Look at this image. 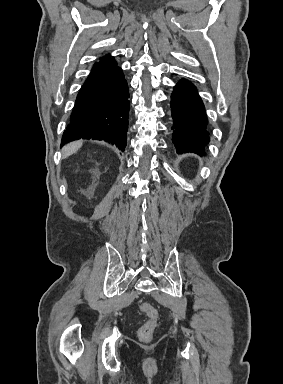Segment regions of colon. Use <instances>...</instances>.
Wrapping results in <instances>:
<instances>
[{"mask_svg":"<svg viewBox=\"0 0 283 384\" xmlns=\"http://www.w3.org/2000/svg\"><path fill=\"white\" fill-rule=\"evenodd\" d=\"M140 309L146 314L148 320L140 327L138 336L142 341H149L151 340L157 325L158 311L153 305L147 302L142 303Z\"/></svg>","mask_w":283,"mask_h":384,"instance_id":"colon-1","label":"colon"}]
</instances>
